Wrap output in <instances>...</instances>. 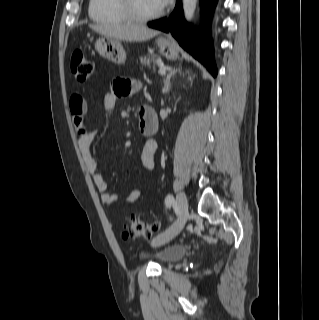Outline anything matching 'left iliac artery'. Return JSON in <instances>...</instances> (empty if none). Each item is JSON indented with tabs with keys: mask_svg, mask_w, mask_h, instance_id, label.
I'll list each match as a JSON object with an SVG mask.
<instances>
[{
	"mask_svg": "<svg viewBox=\"0 0 319 320\" xmlns=\"http://www.w3.org/2000/svg\"><path fill=\"white\" fill-rule=\"evenodd\" d=\"M173 202H174V197H173V195L168 194L167 197H166V199H165V205H166V207H170ZM165 233H167V231H166ZM163 234H164V232H163L162 234H160V235H163ZM160 235H159V236H160ZM159 236H158V237H159Z\"/></svg>",
	"mask_w": 319,
	"mask_h": 320,
	"instance_id": "left-iliac-artery-1",
	"label": "left iliac artery"
}]
</instances>
